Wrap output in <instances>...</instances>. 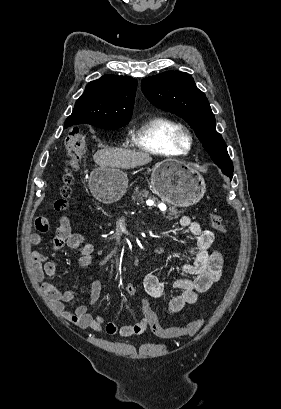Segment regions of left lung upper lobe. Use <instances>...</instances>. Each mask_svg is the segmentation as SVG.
<instances>
[{
	"instance_id": "left-lung-upper-lobe-1",
	"label": "left lung upper lobe",
	"mask_w": 281,
	"mask_h": 409,
	"mask_svg": "<svg viewBox=\"0 0 281 409\" xmlns=\"http://www.w3.org/2000/svg\"><path fill=\"white\" fill-rule=\"evenodd\" d=\"M141 85L144 95L153 105L184 118L214 163L225 175L233 176V164L222 136L215 129L214 114L191 75L168 71L144 78Z\"/></svg>"
}]
</instances>
